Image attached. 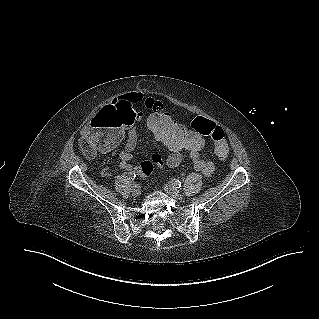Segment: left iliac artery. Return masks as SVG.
Returning <instances> with one entry per match:
<instances>
[{"label": "left iliac artery", "instance_id": "obj_1", "mask_svg": "<svg viewBox=\"0 0 319 319\" xmlns=\"http://www.w3.org/2000/svg\"><path fill=\"white\" fill-rule=\"evenodd\" d=\"M171 183H172L173 187H175V188H180L182 186V183L178 179H175V178L171 180Z\"/></svg>", "mask_w": 319, "mask_h": 319}]
</instances>
